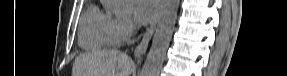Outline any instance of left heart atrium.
Wrapping results in <instances>:
<instances>
[{"label": "left heart atrium", "mask_w": 287, "mask_h": 76, "mask_svg": "<svg viewBox=\"0 0 287 76\" xmlns=\"http://www.w3.org/2000/svg\"><path fill=\"white\" fill-rule=\"evenodd\" d=\"M130 3L134 18L141 24L148 23L157 14L158 6L155 0H132Z\"/></svg>", "instance_id": "obj_1"}]
</instances>
